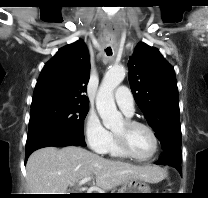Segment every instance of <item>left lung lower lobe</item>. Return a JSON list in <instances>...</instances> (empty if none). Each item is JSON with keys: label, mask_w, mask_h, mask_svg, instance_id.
I'll return each instance as SVG.
<instances>
[{"label": "left lung lower lobe", "mask_w": 208, "mask_h": 198, "mask_svg": "<svg viewBox=\"0 0 208 198\" xmlns=\"http://www.w3.org/2000/svg\"><path fill=\"white\" fill-rule=\"evenodd\" d=\"M180 163L181 158L179 159L171 153L164 152L163 157L159 160L157 164L170 165L175 167L179 172H181Z\"/></svg>", "instance_id": "obj_1"}]
</instances>
